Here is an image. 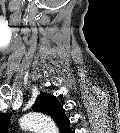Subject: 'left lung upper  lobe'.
<instances>
[{
    "label": "left lung upper lobe",
    "instance_id": "left-lung-upper-lobe-1",
    "mask_svg": "<svg viewBox=\"0 0 120 133\" xmlns=\"http://www.w3.org/2000/svg\"><path fill=\"white\" fill-rule=\"evenodd\" d=\"M32 108L37 112H42L44 114L50 115L58 126L66 125L68 123V120L64 114V109L54 96L41 93V95L38 97L36 103L33 105ZM7 117L8 116L5 115L2 119L5 121ZM1 125H5L3 124V121Z\"/></svg>",
    "mask_w": 120,
    "mask_h": 133
}]
</instances>
